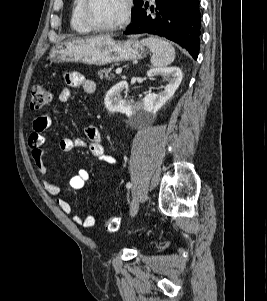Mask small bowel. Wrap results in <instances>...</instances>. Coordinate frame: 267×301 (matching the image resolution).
<instances>
[{"label":"small bowel","instance_id":"c3829d8e","mask_svg":"<svg viewBox=\"0 0 267 301\" xmlns=\"http://www.w3.org/2000/svg\"><path fill=\"white\" fill-rule=\"evenodd\" d=\"M65 81L70 87L79 88L86 94H93L96 90L95 83L83 76L80 73H66ZM71 97V91L68 87H64L58 97L60 103L67 102ZM52 124V114L45 113L38 116L32 125V131L29 136V147L31 150L32 159L36 166L37 171L41 175L47 173V167L44 163V150L43 145L48 141L44 132ZM86 140L83 138H62L59 141V148L63 152H70L74 148H87L90 153L98 159L104 160L110 164H116L117 160L112 155L105 152L102 145V135L100 130L95 126H87L85 128ZM89 172L85 169H79L70 179L69 185L74 190L82 189L86 182L89 180ZM42 186L47 193L52 196H58L60 193L59 185L50 182L46 179L42 180ZM56 203L58 207L65 213L71 214L72 207L70 203L64 199L57 198ZM74 223L82 225L85 228H91L95 224V218L93 216H87L85 218L78 214L72 217Z\"/></svg>","mask_w":267,"mask_h":301}]
</instances>
